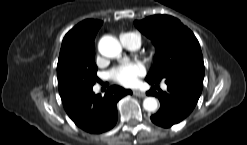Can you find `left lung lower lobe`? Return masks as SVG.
Returning a JSON list of instances; mask_svg holds the SVG:
<instances>
[{
	"label": "left lung lower lobe",
	"instance_id": "1",
	"mask_svg": "<svg viewBox=\"0 0 247 145\" xmlns=\"http://www.w3.org/2000/svg\"><path fill=\"white\" fill-rule=\"evenodd\" d=\"M154 83L158 88L160 81ZM167 91L157 92L152 87L146 94L158 97L161 103L159 111L151 116L153 123L161 127H171L185 119L194 109L202 92L203 81L185 75H173L165 78Z\"/></svg>",
	"mask_w": 247,
	"mask_h": 145
}]
</instances>
